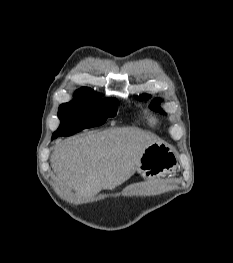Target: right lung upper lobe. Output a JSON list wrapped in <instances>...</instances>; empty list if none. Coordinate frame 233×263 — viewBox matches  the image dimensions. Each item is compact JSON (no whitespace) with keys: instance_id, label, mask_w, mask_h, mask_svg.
Here are the masks:
<instances>
[{"instance_id":"obj_1","label":"right lung upper lobe","mask_w":233,"mask_h":263,"mask_svg":"<svg viewBox=\"0 0 233 263\" xmlns=\"http://www.w3.org/2000/svg\"><path fill=\"white\" fill-rule=\"evenodd\" d=\"M75 98H93L98 97L97 93L90 88L82 87L75 92Z\"/></svg>"}]
</instances>
